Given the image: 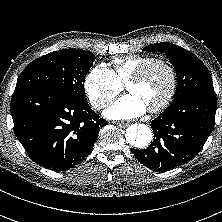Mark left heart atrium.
I'll return each mask as SVG.
<instances>
[{
  "mask_svg": "<svg viewBox=\"0 0 222 222\" xmlns=\"http://www.w3.org/2000/svg\"><path fill=\"white\" fill-rule=\"evenodd\" d=\"M146 111L145 103L137 95L129 93L110 106L105 111V116L110 119L125 120L140 117Z\"/></svg>",
  "mask_w": 222,
  "mask_h": 222,
  "instance_id": "obj_1",
  "label": "left heart atrium"
}]
</instances>
